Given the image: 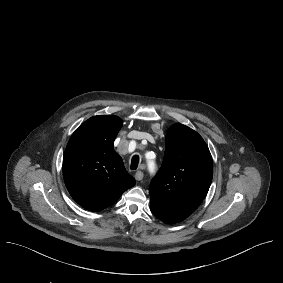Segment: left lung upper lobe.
I'll list each match as a JSON object with an SVG mask.
<instances>
[{"mask_svg": "<svg viewBox=\"0 0 283 283\" xmlns=\"http://www.w3.org/2000/svg\"><path fill=\"white\" fill-rule=\"evenodd\" d=\"M212 176V157L202 137L174 124L166 134L162 166L150 184V202L192 212L207 195Z\"/></svg>", "mask_w": 283, "mask_h": 283, "instance_id": "5c2ea615", "label": "left lung upper lobe"}]
</instances>
